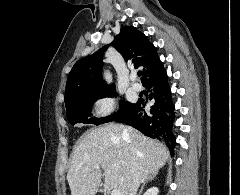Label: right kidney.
<instances>
[{"label": "right kidney", "instance_id": "obj_1", "mask_svg": "<svg viewBox=\"0 0 240 195\" xmlns=\"http://www.w3.org/2000/svg\"><path fill=\"white\" fill-rule=\"evenodd\" d=\"M158 187H149L147 191H145L144 195H158Z\"/></svg>", "mask_w": 240, "mask_h": 195}]
</instances>
